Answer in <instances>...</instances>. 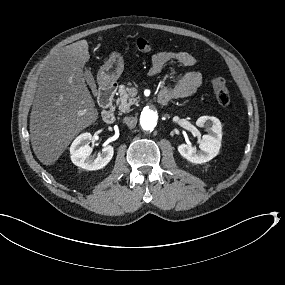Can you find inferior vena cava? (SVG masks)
<instances>
[{
    "instance_id": "inferior-vena-cava-1",
    "label": "inferior vena cava",
    "mask_w": 285,
    "mask_h": 285,
    "mask_svg": "<svg viewBox=\"0 0 285 285\" xmlns=\"http://www.w3.org/2000/svg\"><path fill=\"white\" fill-rule=\"evenodd\" d=\"M123 121L130 129H133L137 124V117H124Z\"/></svg>"
}]
</instances>
